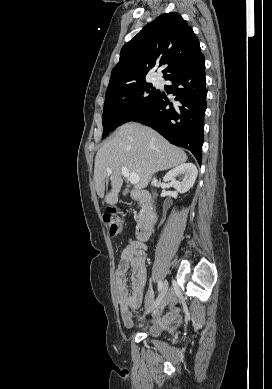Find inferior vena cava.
Listing matches in <instances>:
<instances>
[{
  "label": "inferior vena cava",
  "instance_id": "obj_1",
  "mask_svg": "<svg viewBox=\"0 0 272 389\" xmlns=\"http://www.w3.org/2000/svg\"><path fill=\"white\" fill-rule=\"evenodd\" d=\"M152 185L158 186V181L155 178L152 180Z\"/></svg>",
  "mask_w": 272,
  "mask_h": 389
}]
</instances>
